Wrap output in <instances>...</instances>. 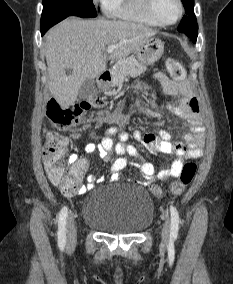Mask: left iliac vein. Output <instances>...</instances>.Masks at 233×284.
<instances>
[{
	"label": "left iliac vein",
	"mask_w": 233,
	"mask_h": 284,
	"mask_svg": "<svg viewBox=\"0 0 233 284\" xmlns=\"http://www.w3.org/2000/svg\"><path fill=\"white\" fill-rule=\"evenodd\" d=\"M170 229H171V224H170V220L168 218H165V222L163 225V229H162V243L164 245H167L169 242V238H170Z\"/></svg>",
	"instance_id": "4c4485c4"
}]
</instances>
